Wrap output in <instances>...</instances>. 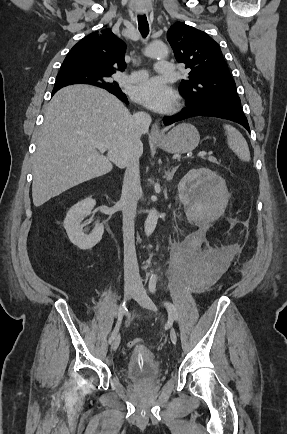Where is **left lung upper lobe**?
Instances as JSON below:
<instances>
[{"label": "left lung upper lobe", "instance_id": "5c2ea615", "mask_svg": "<svg viewBox=\"0 0 287 434\" xmlns=\"http://www.w3.org/2000/svg\"><path fill=\"white\" fill-rule=\"evenodd\" d=\"M167 40L177 61L190 70L179 87L186 103L240 102L222 52L207 33L177 22L168 30Z\"/></svg>", "mask_w": 287, "mask_h": 434}]
</instances>
